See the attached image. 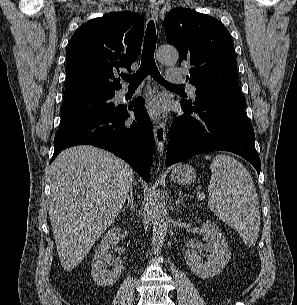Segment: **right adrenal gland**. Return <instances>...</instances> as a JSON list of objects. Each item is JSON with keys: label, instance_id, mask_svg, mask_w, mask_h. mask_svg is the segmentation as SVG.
<instances>
[{"label": "right adrenal gland", "instance_id": "1", "mask_svg": "<svg viewBox=\"0 0 297 305\" xmlns=\"http://www.w3.org/2000/svg\"><path fill=\"white\" fill-rule=\"evenodd\" d=\"M136 208V205L134 204V197L132 194V191L130 190V193L128 195V203L127 205L122 209V212H125L126 210L131 213H134Z\"/></svg>", "mask_w": 297, "mask_h": 305}]
</instances>
